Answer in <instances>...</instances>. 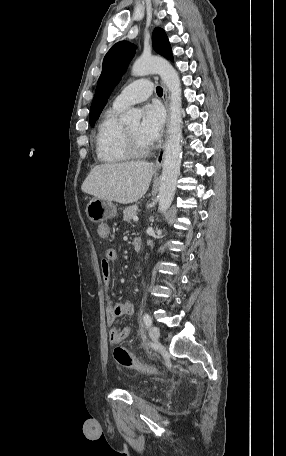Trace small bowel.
<instances>
[{"instance_id": "small-bowel-1", "label": "small bowel", "mask_w": 286, "mask_h": 456, "mask_svg": "<svg viewBox=\"0 0 286 456\" xmlns=\"http://www.w3.org/2000/svg\"><path fill=\"white\" fill-rule=\"evenodd\" d=\"M97 233L100 238L107 239L110 234V228L106 224H101L97 228ZM117 259V252L115 249H107L104 257L100 262L101 276L104 282L105 288V301H106V322L109 325V340L112 344H118L125 340L130 333L129 327L122 329L114 327L116 319L120 316H130L134 314L135 307L133 303L129 301H122L114 303L108 292L111 282V267L110 263Z\"/></svg>"}]
</instances>
